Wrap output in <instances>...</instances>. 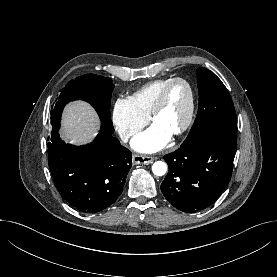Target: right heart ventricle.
<instances>
[{"mask_svg":"<svg viewBox=\"0 0 277 277\" xmlns=\"http://www.w3.org/2000/svg\"><path fill=\"white\" fill-rule=\"evenodd\" d=\"M169 80L170 79H158L148 82L131 96L137 108L144 115H150L161 89Z\"/></svg>","mask_w":277,"mask_h":277,"instance_id":"obj_1","label":"right heart ventricle"}]
</instances>
